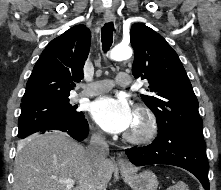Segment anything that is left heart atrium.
<instances>
[{
	"label": "left heart atrium",
	"mask_w": 221,
	"mask_h": 190,
	"mask_svg": "<svg viewBox=\"0 0 221 190\" xmlns=\"http://www.w3.org/2000/svg\"><path fill=\"white\" fill-rule=\"evenodd\" d=\"M94 121L109 133H121L130 129L135 118L129 102L121 97L103 96L90 107Z\"/></svg>",
	"instance_id": "left-heart-atrium-1"
}]
</instances>
